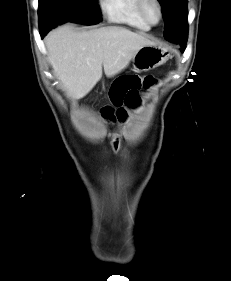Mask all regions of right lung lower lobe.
Instances as JSON below:
<instances>
[{
    "instance_id": "98d812e1",
    "label": "right lung lower lobe",
    "mask_w": 231,
    "mask_h": 281,
    "mask_svg": "<svg viewBox=\"0 0 231 281\" xmlns=\"http://www.w3.org/2000/svg\"><path fill=\"white\" fill-rule=\"evenodd\" d=\"M54 27V25H40L41 37L43 38L45 34Z\"/></svg>"
}]
</instances>
